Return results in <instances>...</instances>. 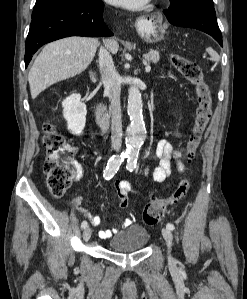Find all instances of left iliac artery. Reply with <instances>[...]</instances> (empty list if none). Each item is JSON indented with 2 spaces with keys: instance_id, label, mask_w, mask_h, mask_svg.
I'll return each mask as SVG.
<instances>
[{
  "instance_id": "obj_1",
  "label": "left iliac artery",
  "mask_w": 247,
  "mask_h": 299,
  "mask_svg": "<svg viewBox=\"0 0 247 299\" xmlns=\"http://www.w3.org/2000/svg\"><path fill=\"white\" fill-rule=\"evenodd\" d=\"M136 163H137V158H136V155H129L128 156V159H127V165H126V168L127 170H129L130 172L134 170V168H136ZM166 227L170 230H174L175 227L172 223L168 222Z\"/></svg>"
}]
</instances>
